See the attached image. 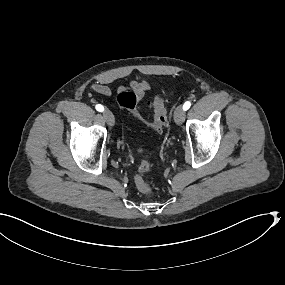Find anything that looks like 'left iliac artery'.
<instances>
[{
  "mask_svg": "<svg viewBox=\"0 0 285 285\" xmlns=\"http://www.w3.org/2000/svg\"><path fill=\"white\" fill-rule=\"evenodd\" d=\"M190 106H191V103L189 101H186L183 105V109L186 111L190 108Z\"/></svg>",
  "mask_w": 285,
  "mask_h": 285,
  "instance_id": "44dca946",
  "label": "left iliac artery"
}]
</instances>
